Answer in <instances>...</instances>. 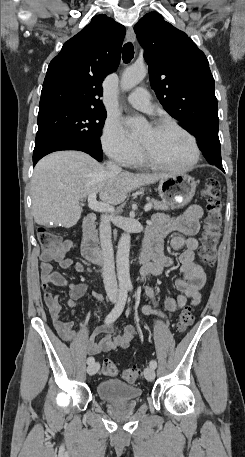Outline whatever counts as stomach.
I'll list each match as a JSON object with an SVG mask.
<instances>
[{"label":"stomach","instance_id":"stomach-1","mask_svg":"<svg viewBox=\"0 0 245 457\" xmlns=\"http://www.w3.org/2000/svg\"><path fill=\"white\" fill-rule=\"evenodd\" d=\"M196 186V180L189 174H168L160 180L158 190L164 202L185 206L194 196Z\"/></svg>","mask_w":245,"mask_h":457}]
</instances>
